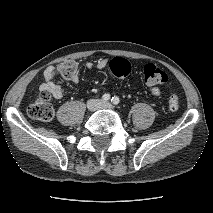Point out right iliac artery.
Instances as JSON below:
<instances>
[{
  "label": "right iliac artery",
  "instance_id": "1",
  "mask_svg": "<svg viewBox=\"0 0 213 213\" xmlns=\"http://www.w3.org/2000/svg\"><path fill=\"white\" fill-rule=\"evenodd\" d=\"M103 101H109L110 100V95L109 94H104L102 96Z\"/></svg>",
  "mask_w": 213,
  "mask_h": 213
}]
</instances>
